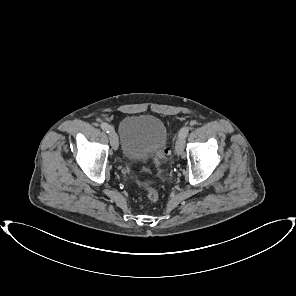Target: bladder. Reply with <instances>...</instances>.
Masks as SVG:
<instances>
[{
  "label": "bladder",
  "instance_id": "31cf9c89",
  "mask_svg": "<svg viewBox=\"0 0 296 296\" xmlns=\"http://www.w3.org/2000/svg\"><path fill=\"white\" fill-rule=\"evenodd\" d=\"M121 151L129 161H140L160 150L167 138L165 124L151 115H130L119 125Z\"/></svg>",
  "mask_w": 296,
  "mask_h": 296
}]
</instances>
